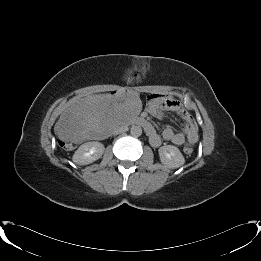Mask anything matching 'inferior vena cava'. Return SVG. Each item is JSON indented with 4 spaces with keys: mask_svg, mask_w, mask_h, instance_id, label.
Listing matches in <instances>:
<instances>
[{
    "mask_svg": "<svg viewBox=\"0 0 261 261\" xmlns=\"http://www.w3.org/2000/svg\"><path fill=\"white\" fill-rule=\"evenodd\" d=\"M127 130H128L127 125H122V126H119V127L115 128L113 130V134L117 135V134L123 133V132H125Z\"/></svg>",
    "mask_w": 261,
    "mask_h": 261,
    "instance_id": "602c4592",
    "label": "inferior vena cava"
}]
</instances>
